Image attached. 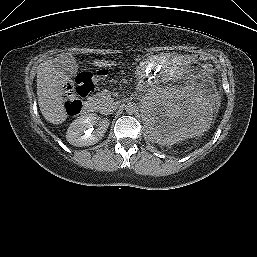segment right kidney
<instances>
[{
	"mask_svg": "<svg viewBox=\"0 0 257 257\" xmlns=\"http://www.w3.org/2000/svg\"><path fill=\"white\" fill-rule=\"evenodd\" d=\"M96 123V117L94 114H87L78 117L70 124L67 130V141L70 144L79 147L96 144L104 136L109 126V120L102 119L98 124L99 127L94 130L93 126Z\"/></svg>",
	"mask_w": 257,
	"mask_h": 257,
	"instance_id": "ca27d5eb",
	"label": "right kidney"
}]
</instances>
